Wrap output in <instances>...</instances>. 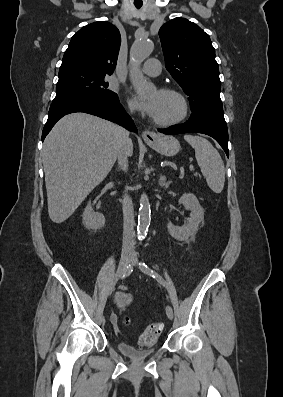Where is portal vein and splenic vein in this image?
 I'll return each instance as SVG.
<instances>
[{"mask_svg": "<svg viewBox=\"0 0 283 397\" xmlns=\"http://www.w3.org/2000/svg\"><path fill=\"white\" fill-rule=\"evenodd\" d=\"M193 170V165H190V171H192Z\"/></svg>", "mask_w": 283, "mask_h": 397, "instance_id": "1", "label": "portal vein and splenic vein"}]
</instances>
